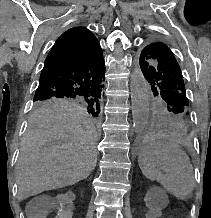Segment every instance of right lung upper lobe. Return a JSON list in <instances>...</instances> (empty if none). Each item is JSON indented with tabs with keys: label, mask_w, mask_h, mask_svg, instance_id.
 I'll use <instances>...</instances> for the list:
<instances>
[{
	"label": "right lung upper lobe",
	"mask_w": 211,
	"mask_h": 218,
	"mask_svg": "<svg viewBox=\"0 0 211 218\" xmlns=\"http://www.w3.org/2000/svg\"><path fill=\"white\" fill-rule=\"evenodd\" d=\"M102 55L96 37L84 27H74L64 32L49 52L41 75L57 68Z\"/></svg>",
	"instance_id": "cb5924a9"
}]
</instances>
